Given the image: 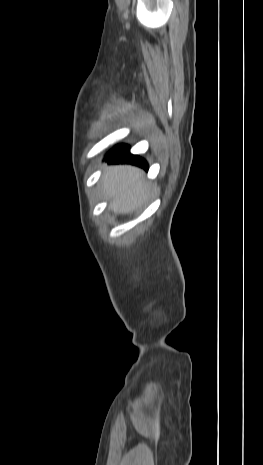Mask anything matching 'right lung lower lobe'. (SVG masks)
Returning <instances> with one entry per match:
<instances>
[{
    "label": "right lung lower lobe",
    "instance_id": "98d812e1",
    "mask_svg": "<svg viewBox=\"0 0 263 465\" xmlns=\"http://www.w3.org/2000/svg\"><path fill=\"white\" fill-rule=\"evenodd\" d=\"M106 160L108 163H130L148 169L147 162L143 158L130 154L129 146L124 144L114 147Z\"/></svg>",
    "mask_w": 263,
    "mask_h": 465
}]
</instances>
